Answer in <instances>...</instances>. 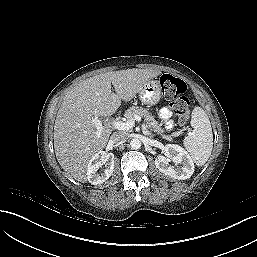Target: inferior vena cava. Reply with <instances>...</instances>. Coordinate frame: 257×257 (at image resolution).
Segmentation results:
<instances>
[{
	"label": "inferior vena cava",
	"instance_id": "602c4592",
	"mask_svg": "<svg viewBox=\"0 0 257 257\" xmlns=\"http://www.w3.org/2000/svg\"><path fill=\"white\" fill-rule=\"evenodd\" d=\"M127 139H128L127 134H125L124 132H116V133H113V135L111 136L110 142L113 144H121L126 142Z\"/></svg>",
	"mask_w": 257,
	"mask_h": 257
}]
</instances>
